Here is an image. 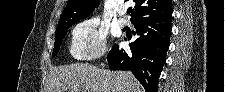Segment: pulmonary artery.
<instances>
[{
	"label": "pulmonary artery",
	"mask_w": 225,
	"mask_h": 92,
	"mask_svg": "<svg viewBox=\"0 0 225 92\" xmlns=\"http://www.w3.org/2000/svg\"><path fill=\"white\" fill-rule=\"evenodd\" d=\"M125 14V11H120L121 17L118 20V24L120 27H125L128 24V21L123 15Z\"/></svg>",
	"instance_id": "obj_1"
}]
</instances>
